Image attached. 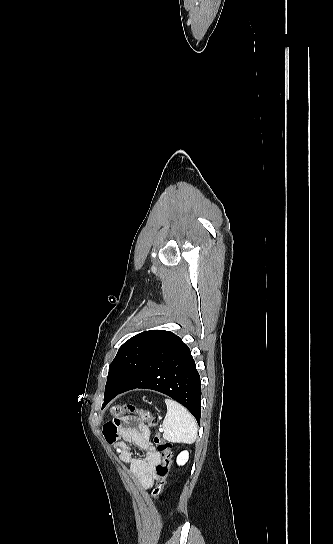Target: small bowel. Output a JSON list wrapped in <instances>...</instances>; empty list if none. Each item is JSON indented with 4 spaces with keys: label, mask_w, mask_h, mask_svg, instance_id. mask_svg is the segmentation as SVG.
<instances>
[{
    "label": "small bowel",
    "mask_w": 333,
    "mask_h": 544,
    "mask_svg": "<svg viewBox=\"0 0 333 544\" xmlns=\"http://www.w3.org/2000/svg\"><path fill=\"white\" fill-rule=\"evenodd\" d=\"M106 441L113 444L120 460L130 466V472L143 488H150L156 480V467L161 456L150 440L148 427L132 417H116L103 427ZM128 443H132L145 453L143 458L133 456Z\"/></svg>",
    "instance_id": "1"
}]
</instances>
